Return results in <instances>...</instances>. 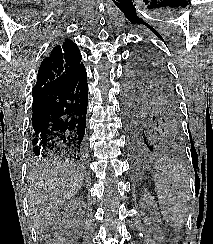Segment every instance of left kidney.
Returning a JSON list of instances; mask_svg holds the SVG:
<instances>
[{"label": "left kidney", "mask_w": 213, "mask_h": 244, "mask_svg": "<svg viewBox=\"0 0 213 244\" xmlns=\"http://www.w3.org/2000/svg\"><path fill=\"white\" fill-rule=\"evenodd\" d=\"M141 200H142L143 205H148L149 203L150 204L153 203L152 197L150 195H148V194L142 195Z\"/></svg>", "instance_id": "1"}]
</instances>
